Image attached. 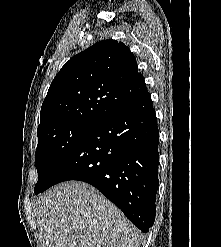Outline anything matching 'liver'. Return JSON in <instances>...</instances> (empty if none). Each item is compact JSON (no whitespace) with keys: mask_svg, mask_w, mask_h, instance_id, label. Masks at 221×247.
Masks as SVG:
<instances>
[{"mask_svg":"<svg viewBox=\"0 0 221 247\" xmlns=\"http://www.w3.org/2000/svg\"><path fill=\"white\" fill-rule=\"evenodd\" d=\"M44 247H139L135 226L97 189L63 182L36 202Z\"/></svg>","mask_w":221,"mask_h":247,"instance_id":"obj_1","label":"liver"}]
</instances>
